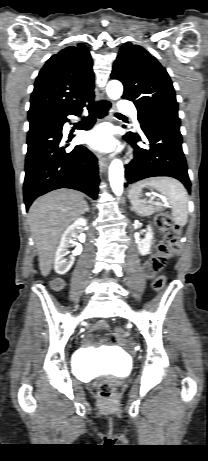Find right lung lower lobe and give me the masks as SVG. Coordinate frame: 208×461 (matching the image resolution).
<instances>
[{"instance_id": "right-lung-lower-lobe-1", "label": "right lung lower lobe", "mask_w": 208, "mask_h": 461, "mask_svg": "<svg viewBox=\"0 0 208 461\" xmlns=\"http://www.w3.org/2000/svg\"><path fill=\"white\" fill-rule=\"evenodd\" d=\"M89 116L78 129L89 130L95 123L94 102L87 105ZM51 119L28 131L25 179L23 186L26 209L38 197L59 188L82 191L96 199L98 193L97 158L84 146L67 150L71 138L63 139L62 129L68 115Z\"/></svg>"}]
</instances>
